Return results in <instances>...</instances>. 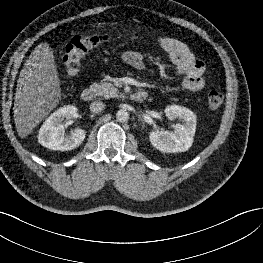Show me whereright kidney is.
Wrapping results in <instances>:
<instances>
[{
	"label": "right kidney",
	"instance_id": "obj_1",
	"mask_svg": "<svg viewBox=\"0 0 263 263\" xmlns=\"http://www.w3.org/2000/svg\"><path fill=\"white\" fill-rule=\"evenodd\" d=\"M76 113L75 106L67 105L51 114L39 130V143L55 151H68L78 147L85 139V130L76 128L69 135H65L63 124L65 119L75 117Z\"/></svg>",
	"mask_w": 263,
	"mask_h": 263
}]
</instances>
